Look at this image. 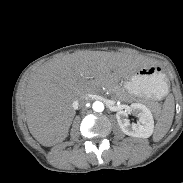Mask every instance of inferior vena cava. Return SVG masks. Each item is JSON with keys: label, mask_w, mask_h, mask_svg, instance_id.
<instances>
[{"label": "inferior vena cava", "mask_w": 183, "mask_h": 183, "mask_svg": "<svg viewBox=\"0 0 183 183\" xmlns=\"http://www.w3.org/2000/svg\"><path fill=\"white\" fill-rule=\"evenodd\" d=\"M88 100H89V97L84 95L79 100H76L73 102V107L78 108L79 104H84V103L88 102Z\"/></svg>", "instance_id": "602c4592"}]
</instances>
